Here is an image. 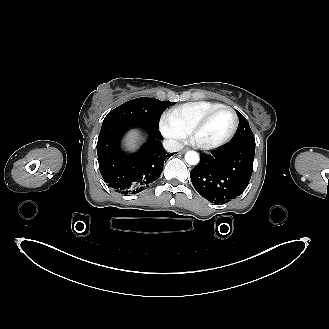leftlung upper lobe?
<instances>
[{
	"label": "left lung upper lobe",
	"instance_id": "1",
	"mask_svg": "<svg viewBox=\"0 0 329 329\" xmlns=\"http://www.w3.org/2000/svg\"><path fill=\"white\" fill-rule=\"evenodd\" d=\"M237 115L239 117V125L231 143L240 142V141L255 142L254 135L252 133L248 121L238 111H237Z\"/></svg>",
	"mask_w": 329,
	"mask_h": 329
}]
</instances>
